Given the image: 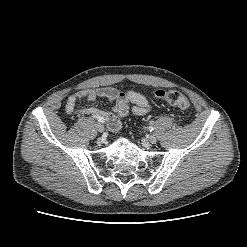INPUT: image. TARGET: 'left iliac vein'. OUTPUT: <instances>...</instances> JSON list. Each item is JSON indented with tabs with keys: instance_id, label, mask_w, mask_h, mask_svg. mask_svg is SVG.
<instances>
[{
	"instance_id": "1",
	"label": "left iliac vein",
	"mask_w": 247,
	"mask_h": 247,
	"mask_svg": "<svg viewBox=\"0 0 247 247\" xmlns=\"http://www.w3.org/2000/svg\"><path fill=\"white\" fill-rule=\"evenodd\" d=\"M148 140L150 143L155 144L157 142V137L155 135H150Z\"/></svg>"
}]
</instances>
